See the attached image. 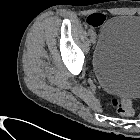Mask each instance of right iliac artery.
<instances>
[{
    "instance_id": "right-iliac-artery-1",
    "label": "right iliac artery",
    "mask_w": 140,
    "mask_h": 140,
    "mask_svg": "<svg viewBox=\"0 0 140 140\" xmlns=\"http://www.w3.org/2000/svg\"><path fill=\"white\" fill-rule=\"evenodd\" d=\"M88 33L91 35L93 33V30L92 29H89L88 30Z\"/></svg>"
}]
</instances>
